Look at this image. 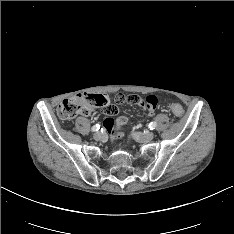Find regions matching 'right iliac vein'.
Here are the masks:
<instances>
[{
	"label": "right iliac vein",
	"mask_w": 234,
	"mask_h": 234,
	"mask_svg": "<svg viewBox=\"0 0 234 234\" xmlns=\"http://www.w3.org/2000/svg\"><path fill=\"white\" fill-rule=\"evenodd\" d=\"M94 139L97 140V141H100V140H103L104 137H105V134L101 133V132H96L94 135H93Z\"/></svg>",
	"instance_id": "1"
}]
</instances>
